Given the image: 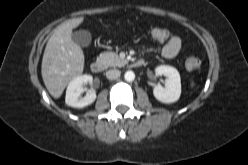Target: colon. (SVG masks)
<instances>
[{"label":"colon","instance_id":"colon-1","mask_svg":"<svg viewBox=\"0 0 248 165\" xmlns=\"http://www.w3.org/2000/svg\"><path fill=\"white\" fill-rule=\"evenodd\" d=\"M149 33L157 41H164L172 37L171 32L166 29L153 28ZM185 66L188 70H195L200 66V60L194 56H189L185 60Z\"/></svg>","mask_w":248,"mask_h":165}]
</instances>
